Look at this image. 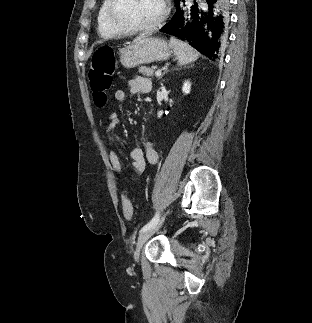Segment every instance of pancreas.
Listing matches in <instances>:
<instances>
[{
    "label": "pancreas",
    "instance_id": "cf45deb5",
    "mask_svg": "<svg viewBox=\"0 0 312 323\" xmlns=\"http://www.w3.org/2000/svg\"><path fill=\"white\" fill-rule=\"evenodd\" d=\"M140 74H143V76H150V78H153L154 76V70H151V68H146V66H141L139 68ZM157 78H160V76H157Z\"/></svg>",
    "mask_w": 312,
    "mask_h": 323
}]
</instances>
